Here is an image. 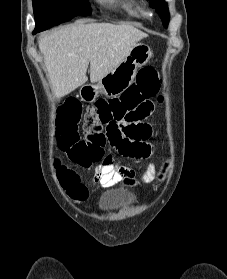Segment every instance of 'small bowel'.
I'll return each mask as SVG.
<instances>
[{
  "instance_id": "small-bowel-1",
  "label": "small bowel",
  "mask_w": 227,
  "mask_h": 279,
  "mask_svg": "<svg viewBox=\"0 0 227 279\" xmlns=\"http://www.w3.org/2000/svg\"><path fill=\"white\" fill-rule=\"evenodd\" d=\"M132 141L128 139L123 132H119L118 136H116L113 140H111V144L113 148L118 150L120 154L124 157H128L127 144H131ZM68 169V168H67ZM154 166L150 164L144 173L140 176L139 180L142 183H148L152 180L153 177ZM63 171L60 172L62 175ZM136 173L132 167L129 166H120L114 157L105 156L101 163L95 168L92 182L94 184H99L102 187H112L117 183H124L128 185H133L136 181L135 179ZM88 196V190L86 188H82L80 191L76 193V198L80 201H83Z\"/></svg>"
}]
</instances>
